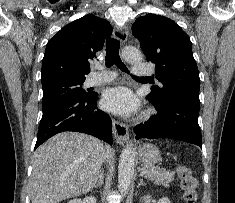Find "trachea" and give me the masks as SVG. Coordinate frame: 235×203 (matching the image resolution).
Listing matches in <instances>:
<instances>
[{
  "mask_svg": "<svg viewBox=\"0 0 235 203\" xmlns=\"http://www.w3.org/2000/svg\"><path fill=\"white\" fill-rule=\"evenodd\" d=\"M119 48H120L119 40L113 38H109L106 40V66L110 67L115 64L122 71L129 74L127 67L120 59Z\"/></svg>",
  "mask_w": 235,
  "mask_h": 203,
  "instance_id": "3493384b",
  "label": "trachea"
}]
</instances>
